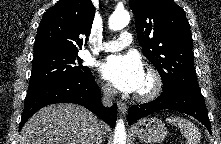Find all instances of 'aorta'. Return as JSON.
<instances>
[{
	"label": "aorta",
	"instance_id": "1",
	"mask_svg": "<svg viewBox=\"0 0 221 144\" xmlns=\"http://www.w3.org/2000/svg\"><path fill=\"white\" fill-rule=\"evenodd\" d=\"M130 21V14L128 11H116L114 12L108 21L109 28L113 31L123 29L128 25ZM126 129L122 119H120L115 127L114 132V144H126Z\"/></svg>",
	"mask_w": 221,
	"mask_h": 144
}]
</instances>
